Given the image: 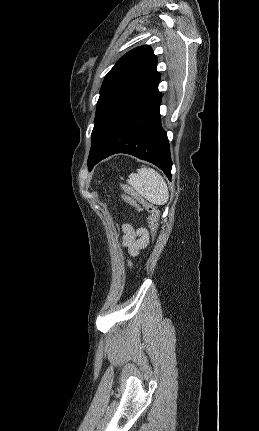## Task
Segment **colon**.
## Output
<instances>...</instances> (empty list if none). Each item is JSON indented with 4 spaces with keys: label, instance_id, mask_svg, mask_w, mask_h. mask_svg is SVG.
Listing matches in <instances>:
<instances>
[{
    "label": "colon",
    "instance_id": "colon-1",
    "mask_svg": "<svg viewBox=\"0 0 259 431\" xmlns=\"http://www.w3.org/2000/svg\"><path fill=\"white\" fill-rule=\"evenodd\" d=\"M122 189V198L125 202L131 205H135V208H140L141 205L143 208H140V211L146 210L148 212V225L153 237L155 238L159 226V209L157 208V206L140 196L131 186L127 184H123ZM135 217H139V214H135Z\"/></svg>",
    "mask_w": 259,
    "mask_h": 431
}]
</instances>
